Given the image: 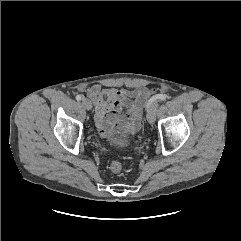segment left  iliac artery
Masks as SVG:
<instances>
[{
  "mask_svg": "<svg viewBox=\"0 0 241 241\" xmlns=\"http://www.w3.org/2000/svg\"><path fill=\"white\" fill-rule=\"evenodd\" d=\"M166 99H167V96L164 95V94L157 95V96L150 102V104L148 105V108H149V106L152 104V102H154V101H156V100L165 101Z\"/></svg>",
  "mask_w": 241,
  "mask_h": 241,
  "instance_id": "left-iliac-artery-1",
  "label": "left iliac artery"
}]
</instances>
